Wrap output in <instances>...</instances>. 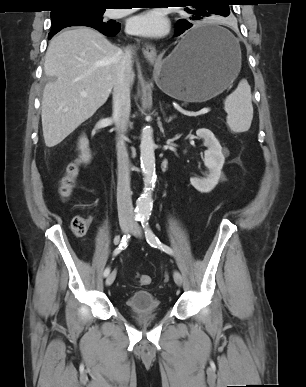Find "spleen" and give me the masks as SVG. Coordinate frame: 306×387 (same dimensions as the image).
Instances as JSON below:
<instances>
[{"instance_id":"3e777b00","label":"spleen","mask_w":306,"mask_h":387,"mask_svg":"<svg viewBox=\"0 0 306 387\" xmlns=\"http://www.w3.org/2000/svg\"><path fill=\"white\" fill-rule=\"evenodd\" d=\"M227 125L231 131H248L253 119L251 88L247 80L240 81L238 87L224 101Z\"/></svg>"}]
</instances>
